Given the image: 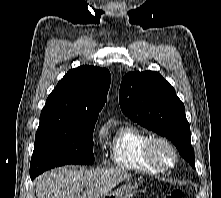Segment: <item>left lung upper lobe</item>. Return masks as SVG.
I'll use <instances>...</instances> for the list:
<instances>
[{
	"label": "left lung upper lobe",
	"mask_w": 221,
	"mask_h": 198,
	"mask_svg": "<svg viewBox=\"0 0 221 198\" xmlns=\"http://www.w3.org/2000/svg\"><path fill=\"white\" fill-rule=\"evenodd\" d=\"M119 103L131 120L171 140L180 155L195 168L184 104L158 72L126 74L120 85Z\"/></svg>",
	"instance_id": "obj_1"
}]
</instances>
